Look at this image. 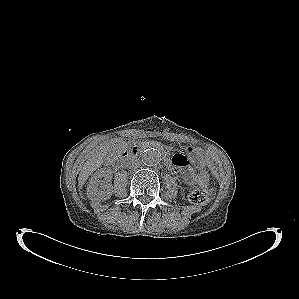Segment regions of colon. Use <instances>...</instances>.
Here are the masks:
<instances>
[{"mask_svg": "<svg viewBox=\"0 0 299 299\" xmlns=\"http://www.w3.org/2000/svg\"><path fill=\"white\" fill-rule=\"evenodd\" d=\"M194 177L199 187L189 193V201L196 205H206L212 199V192L207 189L208 173L205 170H199Z\"/></svg>", "mask_w": 299, "mask_h": 299, "instance_id": "colon-1", "label": "colon"}]
</instances>
